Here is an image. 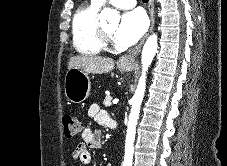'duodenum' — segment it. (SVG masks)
Returning <instances> with one entry per match:
<instances>
[{
    "label": "duodenum",
    "mask_w": 227,
    "mask_h": 166,
    "mask_svg": "<svg viewBox=\"0 0 227 166\" xmlns=\"http://www.w3.org/2000/svg\"><path fill=\"white\" fill-rule=\"evenodd\" d=\"M111 126H112L113 128H115V127H116V122H115V121H112Z\"/></svg>",
    "instance_id": "duodenum-1"
}]
</instances>
